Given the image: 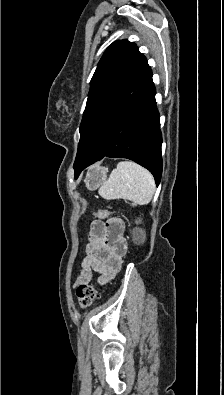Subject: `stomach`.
Segmentation results:
<instances>
[{"label":"stomach","mask_w":224,"mask_h":395,"mask_svg":"<svg viewBox=\"0 0 224 395\" xmlns=\"http://www.w3.org/2000/svg\"><path fill=\"white\" fill-rule=\"evenodd\" d=\"M107 172L108 169L100 165H95L89 168L84 180L86 187L89 190H96L106 181Z\"/></svg>","instance_id":"0dacf381"}]
</instances>
